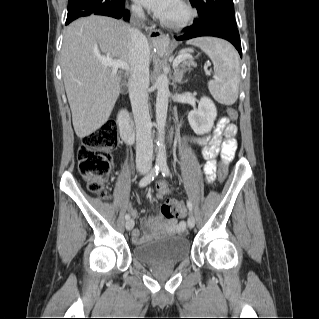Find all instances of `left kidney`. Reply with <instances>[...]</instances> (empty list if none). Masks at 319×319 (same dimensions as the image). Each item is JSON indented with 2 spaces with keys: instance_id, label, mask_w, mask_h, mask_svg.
Here are the masks:
<instances>
[{
  "instance_id": "left-kidney-1",
  "label": "left kidney",
  "mask_w": 319,
  "mask_h": 319,
  "mask_svg": "<svg viewBox=\"0 0 319 319\" xmlns=\"http://www.w3.org/2000/svg\"><path fill=\"white\" fill-rule=\"evenodd\" d=\"M217 116L216 107L211 99L202 97L198 109L188 114V121L196 134L203 135L211 131Z\"/></svg>"
}]
</instances>
